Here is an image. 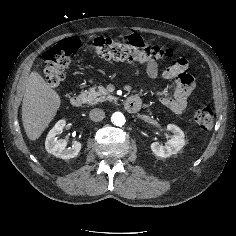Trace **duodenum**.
Segmentation results:
<instances>
[{
	"label": "duodenum",
	"instance_id": "410a0bca",
	"mask_svg": "<svg viewBox=\"0 0 236 236\" xmlns=\"http://www.w3.org/2000/svg\"><path fill=\"white\" fill-rule=\"evenodd\" d=\"M70 103L73 107H80L83 104V98L80 95L72 96ZM142 105L141 99L138 96H131L125 101V109L130 113H136Z\"/></svg>",
	"mask_w": 236,
	"mask_h": 236
}]
</instances>
